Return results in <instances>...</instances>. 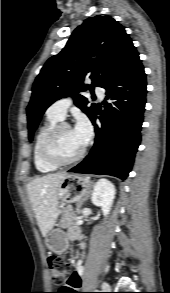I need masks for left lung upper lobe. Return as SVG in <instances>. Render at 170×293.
<instances>
[{
    "mask_svg": "<svg viewBox=\"0 0 170 293\" xmlns=\"http://www.w3.org/2000/svg\"><path fill=\"white\" fill-rule=\"evenodd\" d=\"M133 46L124 28L110 16L88 18L72 33L63 50L51 57L37 76L27 107L29 139L45 110L56 100L71 95L75 104L92 120L96 113L93 104L75 94L85 91L84 79L102 87L112 71Z\"/></svg>",
    "mask_w": 170,
    "mask_h": 293,
    "instance_id": "left-lung-upper-lobe-1",
    "label": "left lung upper lobe"
}]
</instances>
